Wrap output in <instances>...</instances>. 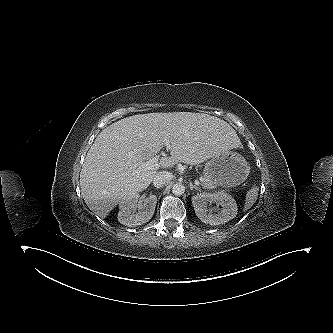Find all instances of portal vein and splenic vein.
<instances>
[{
    "label": "portal vein and splenic vein",
    "mask_w": 333,
    "mask_h": 333,
    "mask_svg": "<svg viewBox=\"0 0 333 333\" xmlns=\"http://www.w3.org/2000/svg\"><path fill=\"white\" fill-rule=\"evenodd\" d=\"M165 146L166 148L168 149L170 147V143H169V140H166L165 141ZM162 155H164V153H162ZM159 159H160V156L157 155L155 157H153L152 159L142 163L138 168H137V171H143V170H156L160 167L159 165ZM195 184L196 185H200V182L198 180L195 181Z\"/></svg>",
    "instance_id": "1"
}]
</instances>
